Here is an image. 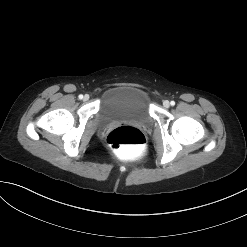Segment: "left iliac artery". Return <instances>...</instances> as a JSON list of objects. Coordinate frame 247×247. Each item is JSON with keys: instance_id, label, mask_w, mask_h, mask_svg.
Returning a JSON list of instances; mask_svg holds the SVG:
<instances>
[{"instance_id": "1", "label": "left iliac artery", "mask_w": 247, "mask_h": 247, "mask_svg": "<svg viewBox=\"0 0 247 247\" xmlns=\"http://www.w3.org/2000/svg\"><path fill=\"white\" fill-rule=\"evenodd\" d=\"M170 104H171V106H174L175 105V102L174 101H171Z\"/></svg>"}]
</instances>
